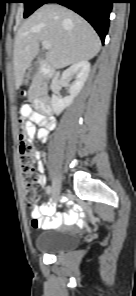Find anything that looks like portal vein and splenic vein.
I'll use <instances>...</instances> for the list:
<instances>
[{"instance_id":"obj_1","label":"portal vein and splenic vein","mask_w":136,"mask_h":296,"mask_svg":"<svg viewBox=\"0 0 136 296\" xmlns=\"http://www.w3.org/2000/svg\"><path fill=\"white\" fill-rule=\"evenodd\" d=\"M42 47L44 49H50L51 48V44L48 41H42Z\"/></svg>"}]
</instances>
